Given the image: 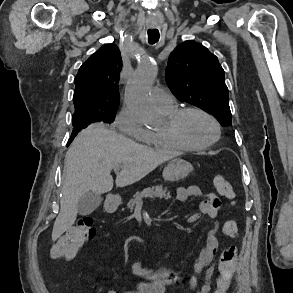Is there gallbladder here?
I'll use <instances>...</instances> for the list:
<instances>
[{
	"label": "gallbladder",
	"mask_w": 293,
	"mask_h": 293,
	"mask_svg": "<svg viewBox=\"0 0 293 293\" xmlns=\"http://www.w3.org/2000/svg\"><path fill=\"white\" fill-rule=\"evenodd\" d=\"M101 202L102 197L100 194L89 191L79 199L78 213L83 216L89 215L101 205Z\"/></svg>",
	"instance_id": "gallbladder-1"
}]
</instances>
